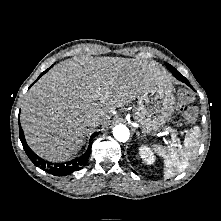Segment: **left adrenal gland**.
Segmentation results:
<instances>
[{
    "label": "left adrenal gland",
    "instance_id": "a2214340",
    "mask_svg": "<svg viewBox=\"0 0 221 221\" xmlns=\"http://www.w3.org/2000/svg\"><path fill=\"white\" fill-rule=\"evenodd\" d=\"M136 135L138 138L142 137L139 132H137Z\"/></svg>",
    "mask_w": 221,
    "mask_h": 221
}]
</instances>
